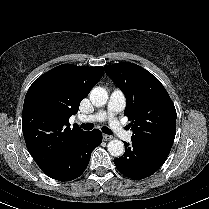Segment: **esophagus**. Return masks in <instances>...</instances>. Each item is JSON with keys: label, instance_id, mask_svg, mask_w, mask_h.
I'll use <instances>...</instances> for the list:
<instances>
[{"label": "esophagus", "instance_id": "obj_1", "mask_svg": "<svg viewBox=\"0 0 209 209\" xmlns=\"http://www.w3.org/2000/svg\"><path fill=\"white\" fill-rule=\"evenodd\" d=\"M103 139H104L105 141H110V140L113 139V136L104 134V135H103Z\"/></svg>", "mask_w": 209, "mask_h": 209}]
</instances>
